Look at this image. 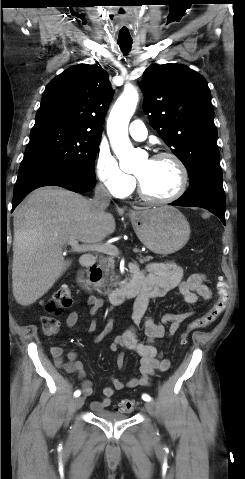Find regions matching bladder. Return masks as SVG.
Listing matches in <instances>:
<instances>
[{"mask_svg":"<svg viewBox=\"0 0 245 479\" xmlns=\"http://www.w3.org/2000/svg\"><path fill=\"white\" fill-rule=\"evenodd\" d=\"M96 417L101 419H107L112 421H122L127 419L129 416L126 414L116 413L112 411H104L96 414Z\"/></svg>","mask_w":245,"mask_h":479,"instance_id":"bladder-1","label":"bladder"}]
</instances>
